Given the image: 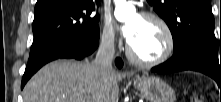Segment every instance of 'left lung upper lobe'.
Listing matches in <instances>:
<instances>
[{"mask_svg":"<svg viewBox=\"0 0 221 102\" xmlns=\"http://www.w3.org/2000/svg\"><path fill=\"white\" fill-rule=\"evenodd\" d=\"M169 26L173 53L187 46L202 47L217 58L220 48L214 35V16L210 0H148Z\"/></svg>","mask_w":221,"mask_h":102,"instance_id":"left-lung-upper-lobe-1","label":"left lung upper lobe"}]
</instances>
